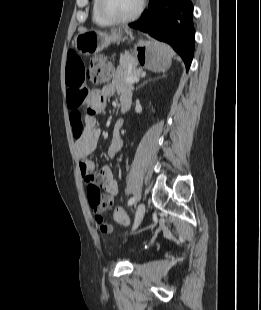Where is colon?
I'll return each mask as SVG.
<instances>
[{
  "instance_id": "colon-1",
  "label": "colon",
  "mask_w": 261,
  "mask_h": 310,
  "mask_svg": "<svg viewBox=\"0 0 261 310\" xmlns=\"http://www.w3.org/2000/svg\"><path fill=\"white\" fill-rule=\"evenodd\" d=\"M112 76V66L109 59L105 55H97L90 61V68L88 71V78L93 83H100ZM89 202L92 207L99 206L104 203V199L101 196L99 190L91 185L88 191ZM114 219L122 224H127L129 219L122 207L118 206L114 209ZM96 222L99 225L101 232L110 233L112 231V225L105 222L101 216L95 217Z\"/></svg>"
}]
</instances>
